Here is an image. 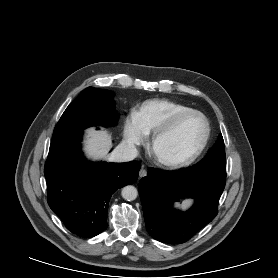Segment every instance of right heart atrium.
Listing matches in <instances>:
<instances>
[{"label": "right heart atrium", "instance_id": "right-heart-atrium-1", "mask_svg": "<svg viewBox=\"0 0 278 278\" xmlns=\"http://www.w3.org/2000/svg\"><path fill=\"white\" fill-rule=\"evenodd\" d=\"M123 137L130 146H139L146 140L147 133L142 128L136 112L127 114L123 121Z\"/></svg>", "mask_w": 278, "mask_h": 278}]
</instances>
